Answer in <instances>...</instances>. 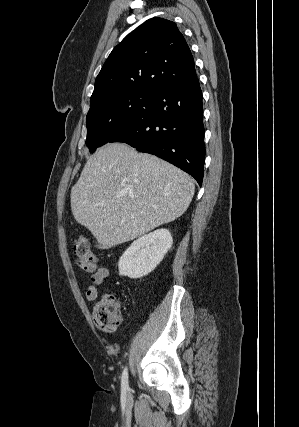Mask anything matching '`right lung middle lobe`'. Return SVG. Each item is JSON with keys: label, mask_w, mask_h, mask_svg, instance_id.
<instances>
[{"label": "right lung middle lobe", "mask_w": 299, "mask_h": 427, "mask_svg": "<svg viewBox=\"0 0 299 427\" xmlns=\"http://www.w3.org/2000/svg\"><path fill=\"white\" fill-rule=\"evenodd\" d=\"M154 95L122 92L105 97L93 104L87 114L86 145L94 152L129 128L144 112Z\"/></svg>", "instance_id": "right-lung-middle-lobe-1"}]
</instances>
